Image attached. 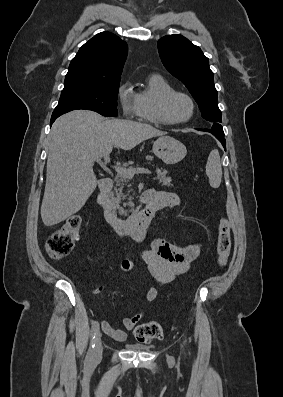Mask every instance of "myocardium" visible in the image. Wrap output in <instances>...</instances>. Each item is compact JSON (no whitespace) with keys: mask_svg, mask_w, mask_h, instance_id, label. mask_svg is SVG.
<instances>
[{"mask_svg":"<svg viewBox=\"0 0 283 397\" xmlns=\"http://www.w3.org/2000/svg\"><path fill=\"white\" fill-rule=\"evenodd\" d=\"M177 96L184 97L185 99H187L189 101V103L191 105L190 114L186 118L179 119V120L172 119L169 114V104H170L171 100ZM195 111H196V104H195V101L193 100V98L188 93L183 92V91H177V90H174V91H171V92L165 94L162 97V99L159 103V107H158L159 117H160L162 123L167 124V125L184 124L192 119V117L195 114Z\"/></svg>","mask_w":283,"mask_h":397,"instance_id":"myocardium-1","label":"myocardium"}]
</instances>
